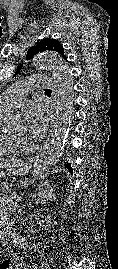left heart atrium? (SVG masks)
Here are the masks:
<instances>
[{
	"label": "left heart atrium",
	"mask_w": 118,
	"mask_h": 269,
	"mask_svg": "<svg viewBox=\"0 0 118 269\" xmlns=\"http://www.w3.org/2000/svg\"><path fill=\"white\" fill-rule=\"evenodd\" d=\"M51 112L45 103L33 101L26 106L24 130L32 139L43 137L49 128Z\"/></svg>",
	"instance_id": "39dd6f15"
}]
</instances>
